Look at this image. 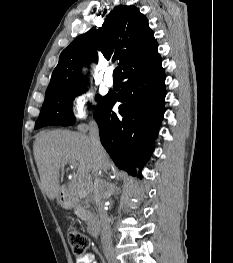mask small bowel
Segmentation results:
<instances>
[{"label":"small bowel","instance_id":"1","mask_svg":"<svg viewBox=\"0 0 233 263\" xmlns=\"http://www.w3.org/2000/svg\"><path fill=\"white\" fill-rule=\"evenodd\" d=\"M76 263H97L94 255L86 254L82 258L76 260Z\"/></svg>","mask_w":233,"mask_h":263}]
</instances>
